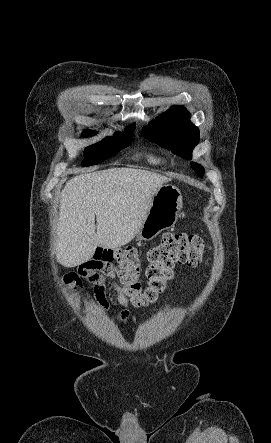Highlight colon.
I'll return each instance as SVG.
<instances>
[{"label": "colon", "mask_w": 271, "mask_h": 443, "mask_svg": "<svg viewBox=\"0 0 271 443\" xmlns=\"http://www.w3.org/2000/svg\"><path fill=\"white\" fill-rule=\"evenodd\" d=\"M207 245L202 238L186 233L165 234L147 253V285L140 282L141 260L132 247L98 248L93 260L102 264L116 262L121 292L135 307L154 303L166 290L176 265L197 267L204 261Z\"/></svg>", "instance_id": "obj_1"}]
</instances>
